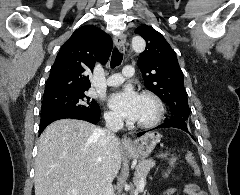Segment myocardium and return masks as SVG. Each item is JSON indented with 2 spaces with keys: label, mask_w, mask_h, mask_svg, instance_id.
I'll list each match as a JSON object with an SVG mask.
<instances>
[{
  "label": "myocardium",
  "mask_w": 240,
  "mask_h": 195,
  "mask_svg": "<svg viewBox=\"0 0 240 195\" xmlns=\"http://www.w3.org/2000/svg\"><path fill=\"white\" fill-rule=\"evenodd\" d=\"M140 97L150 99L153 102L155 106V113L150 120L142 123H136L132 127L137 130H149L160 123L164 115V105L160 97L151 91H143L140 94Z\"/></svg>",
  "instance_id": "f54148a6"
}]
</instances>
